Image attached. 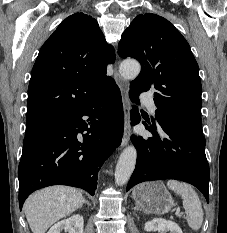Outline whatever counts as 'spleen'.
I'll list each match as a JSON object with an SVG mask.
<instances>
[{
    "label": "spleen",
    "mask_w": 227,
    "mask_h": 233,
    "mask_svg": "<svg viewBox=\"0 0 227 233\" xmlns=\"http://www.w3.org/2000/svg\"><path fill=\"white\" fill-rule=\"evenodd\" d=\"M167 186L182 197L189 227L194 231L199 230L203 223V209L195 190L189 184L177 180H168Z\"/></svg>",
    "instance_id": "spleen-1"
}]
</instances>
